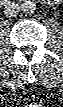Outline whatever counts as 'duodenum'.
Segmentation results:
<instances>
[{"label":"duodenum","instance_id":"duodenum-1","mask_svg":"<svg viewBox=\"0 0 63 107\" xmlns=\"http://www.w3.org/2000/svg\"><path fill=\"white\" fill-rule=\"evenodd\" d=\"M4 2H9V0H4Z\"/></svg>","mask_w":63,"mask_h":107}]
</instances>
